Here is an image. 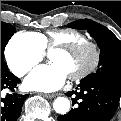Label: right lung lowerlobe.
I'll return each instance as SVG.
<instances>
[{"label": "right lung lower lobe", "mask_w": 121, "mask_h": 121, "mask_svg": "<svg viewBox=\"0 0 121 121\" xmlns=\"http://www.w3.org/2000/svg\"><path fill=\"white\" fill-rule=\"evenodd\" d=\"M20 79L13 75L6 63H1V92L9 90L14 92ZM27 95L17 93L1 94V121H16L21 113Z\"/></svg>", "instance_id": "1"}]
</instances>
